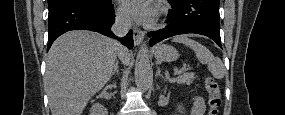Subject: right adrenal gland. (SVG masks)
I'll use <instances>...</instances> for the list:
<instances>
[{"label": "right adrenal gland", "mask_w": 285, "mask_h": 115, "mask_svg": "<svg viewBox=\"0 0 285 115\" xmlns=\"http://www.w3.org/2000/svg\"><path fill=\"white\" fill-rule=\"evenodd\" d=\"M119 67H118V62H116L115 63V65H114V70L112 71V73H111V76L109 77V81L111 80V78L115 75V73H119V69H118Z\"/></svg>", "instance_id": "right-adrenal-gland-1"}]
</instances>
